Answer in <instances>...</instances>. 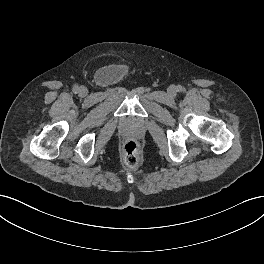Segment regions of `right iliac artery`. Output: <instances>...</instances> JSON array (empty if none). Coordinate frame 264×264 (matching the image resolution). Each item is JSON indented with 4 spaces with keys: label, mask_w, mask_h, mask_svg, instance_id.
<instances>
[{
    "label": "right iliac artery",
    "mask_w": 264,
    "mask_h": 264,
    "mask_svg": "<svg viewBox=\"0 0 264 264\" xmlns=\"http://www.w3.org/2000/svg\"><path fill=\"white\" fill-rule=\"evenodd\" d=\"M73 92H74V93H78V92H79V86H78V85H75V86L73 87Z\"/></svg>",
    "instance_id": "82829eb1"
}]
</instances>
